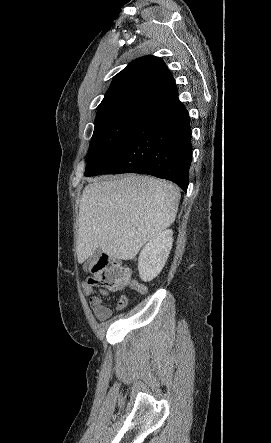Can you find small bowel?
Listing matches in <instances>:
<instances>
[{
    "instance_id": "small-bowel-1",
    "label": "small bowel",
    "mask_w": 271,
    "mask_h": 443,
    "mask_svg": "<svg viewBox=\"0 0 271 443\" xmlns=\"http://www.w3.org/2000/svg\"><path fill=\"white\" fill-rule=\"evenodd\" d=\"M81 288L82 291L90 296L89 298V305L93 311V313L95 314L96 318L99 321H104L106 319H108L109 317L112 316L113 314V309H111L110 307H108L104 302L103 299L98 296L95 295V290L92 286H90L88 283L86 282H82L81 284ZM134 288L140 292V293H145L146 289L142 286L139 285H135ZM100 294L103 296H106L108 293L105 290H99ZM127 305V299L126 297H120L117 301V304L115 305L114 310L116 311H120L122 310L125 306Z\"/></svg>"
}]
</instances>
